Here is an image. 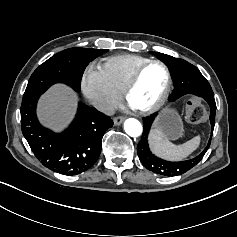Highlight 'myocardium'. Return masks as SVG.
I'll use <instances>...</instances> for the list:
<instances>
[{"instance_id":"1","label":"myocardium","mask_w":237,"mask_h":237,"mask_svg":"<svg viewBox=\"0 0 237 237\" xmlns=\"http://www.w3.org/2000/svg\"><path fill=\"white\" fill-rule=\"evenodd\" d=\"M153 64H158L164 69L166 73V84L160 98L152 106L146 109L135 110L137 114L142 115V116H148V115L154 114L155 112L160 110L164 106L166 101L168 100V97L171 92V87H172V75H171V71L168 65L158 59L147 61L146 63H144L141 67L137 69V71L131 77V79L129 80V82L127 83L123 91L124 99L129 104L130 95L132 91L135 89V87L137 86L143 72L146 70L147 67Z\"/></svg>"}]
</instances>
